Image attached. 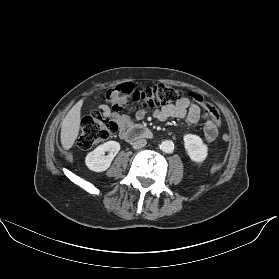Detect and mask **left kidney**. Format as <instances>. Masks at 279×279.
I'll list each match as a JSON object with an SVG mask.
<instances>
[{"label": "left kidney", "mask_w": 279, "mask_h": 279, "mask_svg": "<svg viewBox=\"0 0 279 279\" xmlns=\"http://www.w3.org/2000/svg\"><path fill=\"white\" fill-rule=\"evenodd\" d=\"M184 147L190 159L194 162H203L208 155V147L202 139L194 134H186L183 137Z\"/></svg>", "instance_id": "obj_1"}]
</instances>
